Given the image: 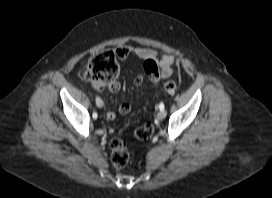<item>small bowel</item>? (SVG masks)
Returning a JSON list of instances; mask_svg holds the SVG:
<instances>
[{"instance_id":"small-bowel-1","label":"small bowel","mask_w":272,"mask_h":198,"mask_svg":"<svg viewBox=\"0 0 272 198\" xmlns=\"http://www.w3.org/2000/svg\"><path fill=\"white\" fill-rule=\"evenodd\" d=\"M117 52L121 59L127 58L130 54L134 53L138 58L144 60V59H150V60H156L158 64V75L155 77H149L154 85H157L159 81L163 78H167L172 75L174 71V64L176 62V57L172 54H165L161 56L160 58L157 57V53L154 50L138 47L135 49H132L127 46H123L117 49ZM137 83L140 84L137 80ZM108 90L110 92L116 93L120 90L121 85L118 81L112 82L110 85L107 86ZM99 105H103L102 99L98 98ZM119 111L122 114H127L131 111V104L129 102H123L120 107ZM116 117L115 112L108 111L106 113V118L108 120H114Z\"/></svg>"}]
</instances>
